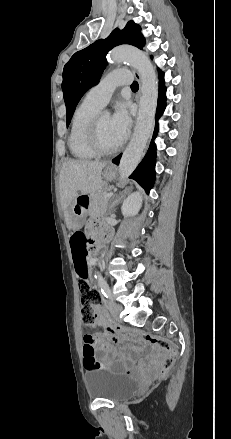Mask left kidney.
I'll use <instances>...</instances> for the list:
<instances>
[{
	"label": "left kidney",
	"instance_id": "5707ae66",
	"mask_svg": "<svg viewBox=\"0 0 231 439\" xmlns=\"http://www.w3.org/2000/svg\"><path fill=\"white\" fill-rule=\"evenodd\" d=\"M142 205V196L140 192L131 193L124 201L121 211L124 217H132L138 214Z\"/></svg>",
	"mask_w": 231,
	"mask_h": 439
}]
</instances>
